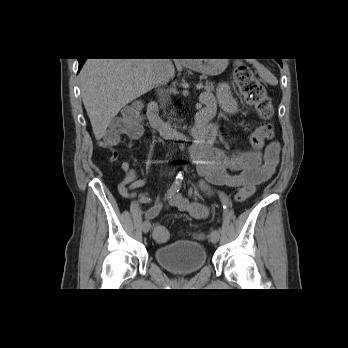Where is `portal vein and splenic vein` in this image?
<instances>
[{"label":"portal vein and splenic vein","instance_id":"obj_1","mask_svg":"<svg viewBox=\"0 0 348 348\" xmlns=\"http://www.w3.org/2000/svg\"><path fill=\"white\" fill-rule=\"evenodd\" d=\"M203 88V84L202 83H198L197 85H196V89L197 90H200V89H202Z\"/></svg>","mask_w":348,"mask_h":348}]
</instances>
